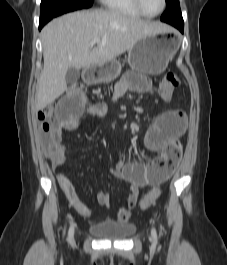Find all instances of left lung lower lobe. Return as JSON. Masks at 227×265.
I'll return each instance as SVG.
<instances>
[{
	"mask_svg": "<svg viewBox=\"0 0 227 265\" xmlns=\"http://www.w3.org/2000/svg\"><path fill=\"white\" fill-rule=\"evenodd\" d=\"M170 24L175 26L176 28H178L183 33V31H184V23L172 22Z\"/></svg>",
	"mask_w": 227,
	"mask_h": 265,
	"instance_id": "1",
	"label": "left lung lower lobe"
}]
</instances>
